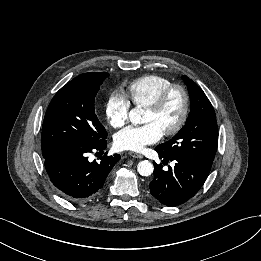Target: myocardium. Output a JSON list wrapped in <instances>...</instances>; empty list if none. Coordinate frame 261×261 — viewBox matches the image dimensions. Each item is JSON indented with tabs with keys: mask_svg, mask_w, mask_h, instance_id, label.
Listing matches in <instances>:
<instances>
[{
	"mask_svg": "<svg viewBox=\"0 0 261 261\" xmlns=\"http://www.w3.org/2000/svg\"><path fill=\"white\" fill-rule=\"evenodd\" d=\"M174 92H179L182 95L183 107L176 124L172 128L163 132V135L168 137L179 133L188 119L190 111V95L187 89L181 84H172L160 93L154 103L146 107V109L152 113H159Z\"/></svg>",
	"mask_w": 261,
	"mask_h": 261,
	"instance_id": "1",
	"label": "myocardium"
}]
</instances>
